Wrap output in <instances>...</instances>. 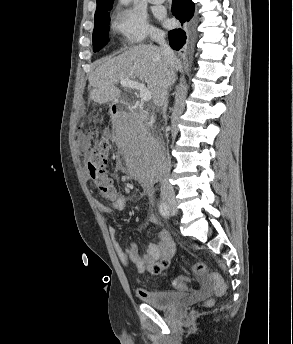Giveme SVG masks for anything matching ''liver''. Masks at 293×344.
<instances>
[{
	"mask_svg": "<svg viewBox=\"0 0 293 344\" xmlns=\"http://www.w3.org/2000/svg\"><path fill=\"white\" fill-rule=\"evenodd\" d=\"M182 69L181 62L175 58L173 71ZM121 79H140L151 92L154 103L160 100L164 87V58L161 47L155 45H137L114 57L90 75L89 83L93 87L90 99L99 104L118 102L121 90L116 84ZM175 82L173 75L171 85Z\"/></svg>",
	"mask_w": 293,
	"mask_h": 344,
	"instance_id": "liver-1",
	"label": "liver"
}]
</instances>
